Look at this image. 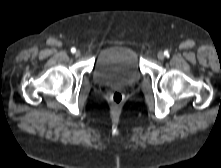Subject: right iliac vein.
I'll list each match as a JSON object with an SVG mask.
<instances>
[{
	"instance_id": "1",
	"label": "right iliac vein",
	"mask_w": 221,
	"mask_h": 168,
	"mask_svg": "<svg viewBox=\"0 0 221 168\" xmlns=\"http://www.w3.org/2000/svg\"><path fill=\"white\" fill-rule=\"evenodd\" d=\"M81 55V52L79 51V50H77L76 52H75V56L76 57H79Z\"/></svg>"
}]
</instances>
